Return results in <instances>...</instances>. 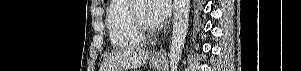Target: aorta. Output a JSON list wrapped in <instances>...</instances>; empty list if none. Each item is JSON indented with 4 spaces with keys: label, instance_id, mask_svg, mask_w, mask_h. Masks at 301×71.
Segmentation results:
<instances>
[{
    "label": "aorta",
    "instance_id": "aorta-1",
    "mask_svg": "<svg viewBox=\"0 0 301 71\" xmlns=\"http://www.w3.org/2000/svg\"><path fill=\"white\" fill-rule=\"evenodd\" d=\"M190 0H174V20L170 47V68L177 71L188 31Z\"/></svg>",
    "mask_w": 301,
    "mask_h": 71
}]
</instances>
